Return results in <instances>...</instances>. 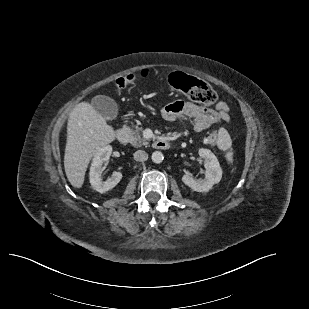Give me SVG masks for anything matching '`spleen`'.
Instances as JSON below:
<instances>
[{
  "label": "spleen",
  "mask_w": 309,
  "mask_h": 309,
  "mask_svg": "<svg viewBox=\"0 0 309 309\" xmlns=\"http://www.w3.org/2000/svg\"><path fill=\"white\" fill-rule=\"evenodd\" d=\"M217 144L218 147L223 151H227L231 147L230 136L224 128H221L219 130V138ZM225 157L229 163L233 162V153L231 151H227Z\"/></svg>",
  "instance_id": "3e777b00"
}]
</instances>
